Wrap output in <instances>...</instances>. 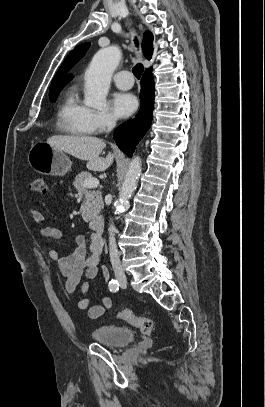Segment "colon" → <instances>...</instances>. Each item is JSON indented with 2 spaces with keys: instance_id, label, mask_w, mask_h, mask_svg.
<instances>
[{
  "instance_id": "1",
  "label": "colon",
  "mask_w": 265,
  "mask_h": 407,
  "mask_svg": "<svg viewBox=\"0 0 265 407\" xmlns=\"http://www.w3.org/2000/svg\"><path fill=\"white\" fill-rule=\"evenodd\" d=\"M31 189L39 194L46 192V183L42 176H35L31 183ZM118 317L129 322L132 326L138 328L143 334H151L154 323L151 319L135 315L129 310H123L118 313Z\"/></svg>"
}]
</instances>
